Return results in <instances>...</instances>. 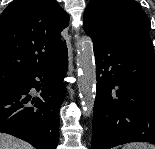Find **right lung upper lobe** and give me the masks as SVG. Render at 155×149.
I'll list each match as a JSON object with an SVG mask.
<instances>
[{"mask_svg":"<svg viewBox=\"0 0 155 149\" xmlns=\"http://www.w3.org/2000/svg\"><path fill=\"white\" fill-rule=\"evenodd\" d=\"M68 21L56 0H14L0 15V69L27 74L57 61Z\"/></svg>","mask_w":155,"mask_h":149,"instance_id":"cb5924a9","label":"right lung upper lobe"}]
</instances>
